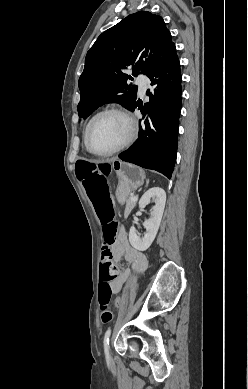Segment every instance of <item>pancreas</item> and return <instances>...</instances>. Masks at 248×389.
I'll return each instance as SVG.
<instances>
[{"mask_svg":"<svg viewBox=\"0 0 248 389\" xmlns=\"http://www.w3.org/2000/svg\"><path fill=\"white\" fill-rule=\"evenodd\" d=\"M135 204H136V200H133L131 198L126 200L125 214H129L132 208L135 206Z\"/></svg>","mask_w":248,"mask_h":389,"instance_id":"cf45deb5","label":"pancreas"}]
</instances>
